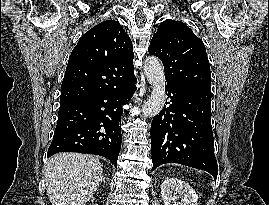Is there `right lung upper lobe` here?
<instances>
[{"mask_svg":"<svg viewBox=\"0 0 269 205\" xmlns=\"http://www.w3.org/2000/svg\"><path fill=\"white\" fill-rule=\"evenodd\" d=\"M132 42L122 26L107 20L87 31L74 47L61 86L60 101L107 91L134 70Z\"/></svg>","mask_w":269,"mask_h":205,"instance_id":"obj_1","label":"right lung upper lobe"}]
</instances>
